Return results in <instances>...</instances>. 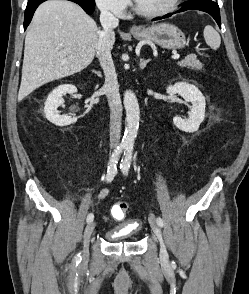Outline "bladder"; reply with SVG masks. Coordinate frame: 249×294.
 <instances>
[{
    "mask_svg": "<svg viewBox=\"0 0 249 294\" xmlns=\"http://www.w3.org/2000/svg\"><path fill=\"white\" fill-rule=\"evenodd\" d=\"M132 223L131 221H124L121 227L107 232L105 239L111 243L120 240H133L141 233L142 229L140 227H130Z\"/></svg>",
    "mask_w": 249,
    "mask_h": 294,
    "instance_id": "1",
    "label": "bladder"
}]
</instances>
